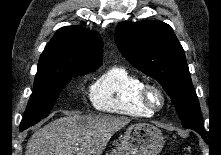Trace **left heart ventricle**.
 Wrapping results in <instances>:
<instances>
[{
  "label": "left heart ventricle",
  "instance_id": "b2bd125f",
  "mask_svg": "<svg viewBox=\"0 0 221 155\" xmlns=\"http://www.w3.org/2000/svg\"><path fill=\"white\" fill-rule=\"evenodd\" d=\"M153 100H154L155 102H157V101H158V99H157V97H156V96H153Z\"/></svg>",
  "mask_w": 221,
  "mask_h": 155
}]
</instances>
